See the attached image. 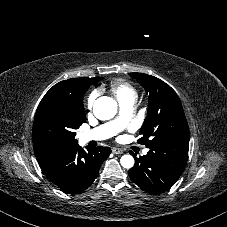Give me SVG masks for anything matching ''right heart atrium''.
<instances>
[{
	"instance_id": "1",
	"label": "right heart atrium",
	"mask_w": 227,
	"mask_h": 227,
	"mask_svg": "<svg viewBox=\"0 0 227 227\" xmlns=\"http://www.w3.org/2000/svg\"><path fill=\"white\" fill-rule=\"evenodd\" d=\"M96 98H97V92L96 91H92L89 95H88V97H87V99H86V108L87 109H92V107H93V105H94V102H95V100H96Z\"/></svg>"
}]
</instances>
